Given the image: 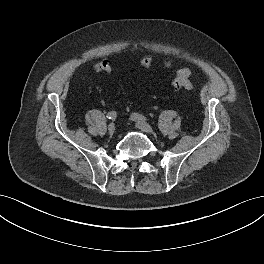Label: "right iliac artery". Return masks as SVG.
<instances>
[{
  "instance_id": "82829eb1",
  "label": "right iliac artery",
  "mask_w": 264,
  "mask_h": 264,
  "mask_svg": "<svg viewBox=\"0 0 264 264\" xmlns=\"http://www.w3.org/2000/svg\"><path fill=\"white\" fill-rule=\"evenodd\" d=\"M117 116V113L115 111H110L108 114H107V118L108 119H111V120H114Z\"/></svg>"
}]
</instances>
